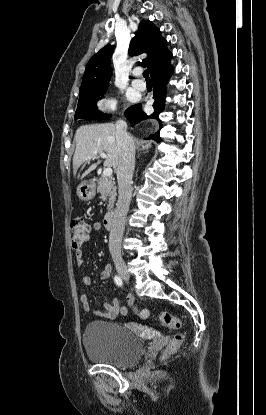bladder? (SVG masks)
I'll list each match as a JSON object with an SVG mask.
<instances>
[{
  "mask_svg": "<svg viewBox=\"0 0 266 415\" xmlns=\"http://www.w3.org/2000/svg\"><path fill=\"white\" fill-rule=\"evenodd\" d=\"M82 341L90 360L116 367L135 365L144 353L138 337L128 328L115 322H89Z\"/></svg>",
  "mask_w": 266,
  "mask_h": 415,
  "instance_id": "31cf9c89",
  "label": "bladder"
}]
</instances>
